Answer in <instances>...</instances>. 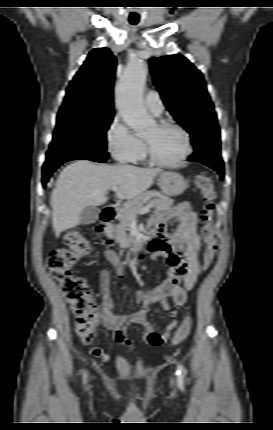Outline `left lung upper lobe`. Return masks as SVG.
Returning <instances> with one entry per match:
<instances>
[{"label":"left lung upper lobe","mask_w":273,"mask_h":430,"mask_svg":"<svg viewBox=\"0 0 273 430\" xmlns=\"http://www.w3.org/2000/svg\"><path fill=\"white\" fill-rule=\"evenodd\" d=\"M149 65L164 104L190 133L195 151L208 143L220 144L217 116L202 73L181 55L153 57Z\"/></svg>","instance_id":"obj_1"}]
</instances>
